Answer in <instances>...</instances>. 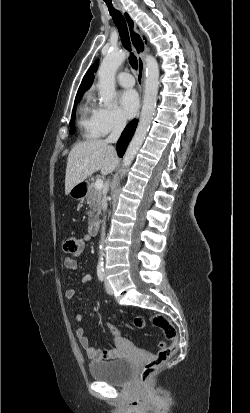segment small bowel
<instances>
[{
    "instance_id": "1",
    "label": "small bowel",
    "mask_w": 250,
    "mask_h": 413,
    "mask_svg": "<svg viewBox=\"0 0 250 413\" xmlns=\"http://www.w3.org/2000/svg\"><path fill=\"white\" fill-rule=\"evenodd\" d=\"M88 240H89L88 235H85L80 239L79 250L74 254V256H77L84 249L85 242H87ZM64 266L67 270H70V271L76 270L77 269V261H76L75 257H66L64 259ZM91 280H92V276L91 275H86L83 278L82 282L87 283ZM76 294H77V290L74 289V288H69L65 291V297L68 300L74 299ZM75 319H76V321L80 322L83 319V315L81 313H77L75 315ZM76 336H77V339H78L81 347L85 350L88 358L93 360V361L115 359L118 356L119 352H120L119 345L123 342V336H122L119 340L115 339V343L117 345L116 348L108 349V350H99V349H96L94 346L91 345L89 337L87 336V334L85 333V330L82 327H79V328L76 329Z\"/></svg>"
}]
</instances>
